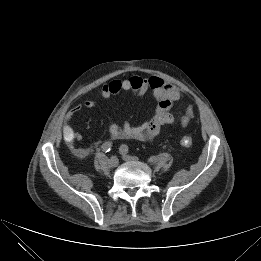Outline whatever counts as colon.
Here are the masks:
<instances>
[{
  "instance_id": "colon-1",
  "label": "colon",
  "mask_w": 261,
  "mask_h": 261,
  "mask_svg": "<svg viewBox=\"0 0 261 261\" xmlns=\"http://www.w3.org/2000/svg\"><path fill=\"white\" fill-rule=\"evenodd\" d=\"M192 138L188 135H185L181 138L180 143L183 147H189L192 145Z\"/></svg>"
}]
</instances>
